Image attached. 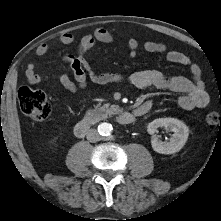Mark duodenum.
I'll list each match as a JSON object with an SVG mask.
<instances>
[{"label":"duodenum","instance_id":"obj_1","mask_svg":"<svg viewBox=\"0 0 221 221\" xmlns=\"http://www.w3.org/2000/svg\"><path fill=\"white\" fill-rule=\"evenodd\" d=\"M150 110L149 105H142L140 107V111L138 113H130V112H120L116 115V120L121 125H130L135 122L138 116L144 115ZM99 109L95 110V115H97ZM92 126V117H87L81 121H79L74 127V134L76 137H84Z\"/></svg>","mask_w":221,"mask_h":221}]
</instances>
